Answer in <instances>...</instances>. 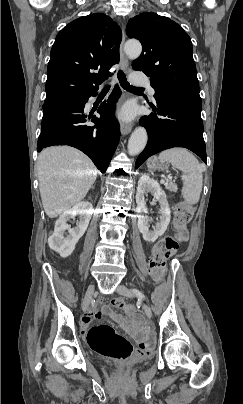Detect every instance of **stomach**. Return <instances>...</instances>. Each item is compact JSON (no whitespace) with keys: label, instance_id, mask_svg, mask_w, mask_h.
I'll list each match as a JSON object with an SVG mask.
<instances>
[{"label":"stomach","instance_id":"1","mask_svg":"<svg viewBox=\"0 0 243 404\" xmlns=\"http://www.w3.org/2000/svg\"><path fill=\"white\" fill-rule=\"evenodd\" d=\"M168 165L165 162H161L158 158L153 157L147 161V168L150 172H154L156 170H165Z\"/></svg>","mask_w":243,"mask_h":404}]
</instances>
